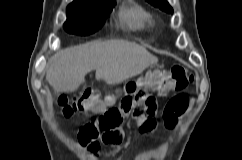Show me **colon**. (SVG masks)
<instances>
[{
	"label": "colon",
	"instance_id": "colon-1",
	"mask_svg": "<svg viewBox=\"0 0 242 160\" xmlns=\"http://www.w3.org/2000/svg\"><path fill=\"white\" fill-rule=\"evenodd\" d=\"M192 80L193 77L186 67L176 65L169 69L155 70L137 81L127 83L121 109L112 107L102 111V104L93 90H85L73 96L62 95L58 103L65 117L76 113L101 112L98 117L83 124L79 130L80 139L84 144L98 147V138L120 127L123 117L128 114L138 119L145 118V129L153 130L156 124V95L177 93L164 112L168 122H171L174 116L184 113L188 107V97L184 91Z\"/></svg>",
	"mask_w": 242,
	"mask_h": 160
}]
</instances>
